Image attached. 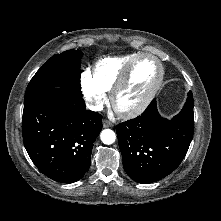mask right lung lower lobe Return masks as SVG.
Returning <instances> with one entry per match:
<instances>
[{
    "instance_id": "right-lung-lower-lobe-1",
    "label": "right lung lower lobe",
    "mask_w": 221,
    "mask_h": 221,
    "mask_svg": "<svg viewBox=\"0 0 221 221\" xmlns=\"http://www.w3.org/2000/svg\"><path fill=\"white\" fill-rule=\"evenodd\" d=\"M102 116L87 111L82 97L51 89L24 101L22 135L36 167L61 183L80 180L91 163Z\"/></svg>"
}]
</instances>
